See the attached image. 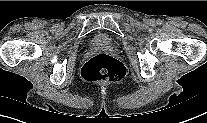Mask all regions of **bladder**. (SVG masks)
<instances>
[{"label":"bladder","instance_id":"1","mask_svg":"<svg viewBox=\"0 0 207 123\" xmlns=\"http://www.w3.org/2000/svg\"><path fill=\"white\" fill-rule=\"evenodd\" d=\"M105 42H106V40L104 38H101V37L97 38L96 41H95L96 44H104Z\"/></svg>","mask_w":207,"mask_h":123}]
</instances>
